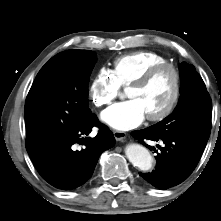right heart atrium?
Instances as JSON below:
<instances>
[{"instance_id": "d8ad5b80", "label": "right heart atrium", "mask_w": 221, "mask_h": 221, "mask_svg": "<svg viewBox=\"0 0 221 221\" xmlns=\"http://www.w3.org/2000/svg\"><path fill=\"white\" fill-rule=\"evenodd\" d=\"M120 89L112 74L106 69H100L89 85V96L96 107H104L117 98Z\"/></svg>"}]
</instances>
